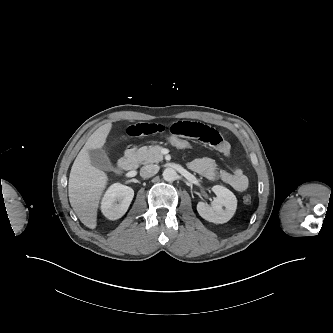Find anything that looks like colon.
<instances>
[{"label":"colon","instance_id":"5ec220e1","mask_svg":"<svg viewBox=\"0 0 333 333\" xmlns=\"http://www.w3.org/2000/svg\"><path fill=\"white\" fill-rule=\"evenodd\" d=\"M165 141L172 146L174 149L181 151H188L194 148V140L181 137L178 135H166ZM243 200L246 204H250L252 202V197L250 195H245Z\"/></svg>","mask_w":333,"mask_h":333}]
</instances>
